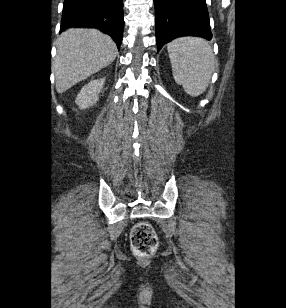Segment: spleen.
<instances>
[{"label":"spleen","mask_w":286,"mask_h":308,"mask_svg":"<svg viewBox=\"0 0 286 308\" xmlns=\"http://www.w3.org/2000/svg\"><path fill=\"white\" fill-rule=\"evenodd\" d=\"M175 82L192 97L202 94L214 72L211 46L199 37L177 38L167 45Z\"/></svg>","instance_id":"obj_1"}]
</instances>
